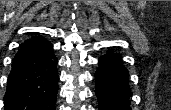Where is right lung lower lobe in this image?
Listing matches in <instances>:
<instances>
[{
	"label": "right lung lower lobe",
	"mask_w": 171,
	"mask_h": 110,
	"mask_svg": "<svg viewBox=\"0 0 171 110\" xmlns=\"http://www.w3.org/2000/svg\"><path fill=\"white\" fill-rule=\"evenodd\" d=\"M58 60L43 36L21 44L13 59L4 110H55Z\"/></svg>",
	"instance_id": "98d812e1"
}]
</instances>
